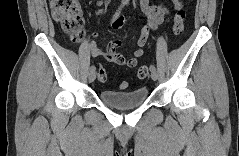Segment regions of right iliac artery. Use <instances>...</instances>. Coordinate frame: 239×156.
Masks as SVG:
<instances>
[{
	"mask_svg": "<svg viewBox=\"0 0 239 156\" xmlns=\"http://www.w3.org/2000/svg\"><path fill=\"white\" fill-rule=\"evenodd\" d=\"M121 9H122V6H120V7L118 8V10L115 12V14H114V16H113V18H112V21L115 20V19L119 16ZM90 70H95V66L92 65V66L90 67Z\"/></svg>",
	"mask_w": 239,
	"mask_h": 156,
	"instance_id": "1",
	"label": "right iliac artery"
}]
</instances>
